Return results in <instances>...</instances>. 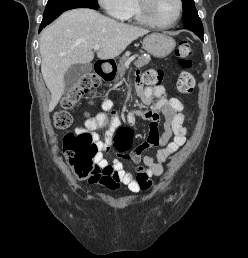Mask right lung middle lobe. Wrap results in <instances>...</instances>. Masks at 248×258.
I'll list each match as a JSON object with an SVG mask.
<instances>
[{"label":"right lung middle lobe","mask_w":248,"mask_h":258,"mask_svg":"<svg viewBox=\"0 0 248 258\" xmlns=\"http://www.w3.org/2000/svg\"><path fill=\"white\" fill-rule=\"evenodd\" d=\"M81 6H90L98 9L99 5L97 0H48L43 20L54 17L69 9L78 8Z\"/></svg>","instance_id":"obj_1"}]
</instances>
